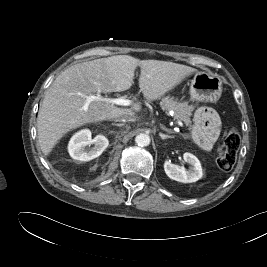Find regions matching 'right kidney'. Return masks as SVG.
<instances>
[{"mask_svg": "<svg viewBox=\"0 0 267 267\" xmlns=\"http://www.w3.org/2000/svg\"><path fill=\"white\" fill-rule=\"evenodd\" d=\"M91 144H94V147L86 150L85 147ZM108 145L109 141L105 136L97 135L92 139L91 131L84 129L72 136L68 144V151L73 159L90 161L100 156Z\"/></svg>", "mask_w": 267, "mask_h": 267, "instance_id": "obj_1", "label": "right kidney"}]
</instances>
